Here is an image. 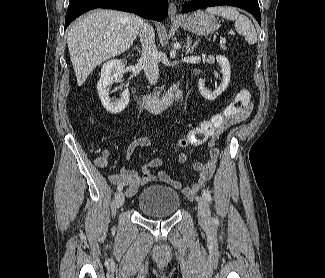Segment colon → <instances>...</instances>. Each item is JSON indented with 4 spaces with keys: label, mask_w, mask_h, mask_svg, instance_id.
<instances>
[{
    "label": "colon",
    "mask_w": 325,
    "mask_h": 278,
    "mask_svg": "<svg viewBox=\"0 0 325 278\" xmlns=\"http://www.w3.org/2000/svg\"><path fill=\"white\" fill-rule=\"evenodd\" d=\"M250 107V97L247 90H241L234 100L222 111L215 113L209 119L204 120L193 128V133L189 137H183L176 143L177 148H185L202 144L213 136L230 120L236 118L241 112Z\"/></svg>",
    "instance_id": "1"
}]
</instances>
